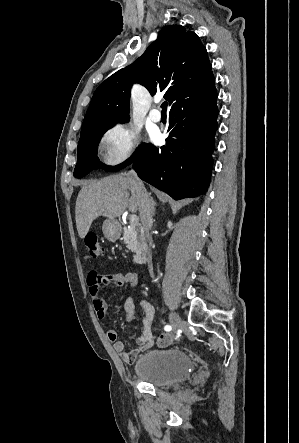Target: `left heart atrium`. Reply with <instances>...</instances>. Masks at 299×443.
Masks as SVG:
<instances>
[{"label":"left heart atrium","instance_id":"left-heart-atrium-1","mask_svg":"<svg viewBox=\"0 0 299 443\" xmlns=\"http://www.w3.org/2000/svg\"><path fill=\"white\" fill-rule=\"evenodd\" d=\"M157 134L156 133H154L153 135H152V139H157Z\"/></svg>","mask_w":299,"mask_h":443}]
</instances>
